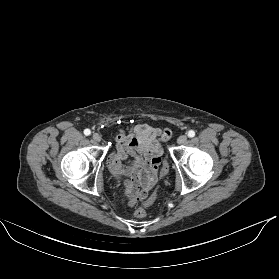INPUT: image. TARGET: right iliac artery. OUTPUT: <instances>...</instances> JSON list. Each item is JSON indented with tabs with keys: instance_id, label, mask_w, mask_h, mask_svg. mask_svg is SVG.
I'll return each instance as SVG.
<instances>
[{
	"instance_id": "obj_1",
	"label": "right iliac artery",
	"mask_w": 279,
	"mask_h": 279,
	"mask_svg": "<svg viewBox=\"0 0 279 279\" xmlns=\"http://www.w3.org/2000/svg\"><path fill=\"white\" fill-rule=\"evenodd\" d=\"M84 134H85L86 136H89V135L91 134V131H90L89 129H85V130H84Z\"/></svg>"
}]
</instances>
